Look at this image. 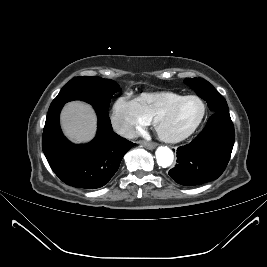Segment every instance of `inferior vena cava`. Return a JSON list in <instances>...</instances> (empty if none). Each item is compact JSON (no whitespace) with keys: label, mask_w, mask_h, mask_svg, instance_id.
Returning a JSON list of instances; mask_svg holds the SVG:
<instances>
[{"label":"inferior vena cava","mask_w":267,"mask_h":267,"mask_svg":"<svg viewBox=\"0 0 267 267\" xmlns=\"http://www.w3.org/2000/svg\"><path fill=\"white\" fill-rule=\"evenodd\" d=\"M113 128L116 133L128 139H133L138 136L134 127L125 122H114Z\"/></svg>","instance_id":"obj_1"}]
</instances>
